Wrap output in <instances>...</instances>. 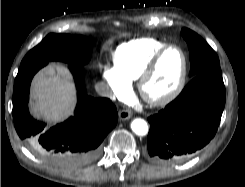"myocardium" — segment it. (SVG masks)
<instances>
[{
    "label": "myocardium",
    "instance_id": "f54148a6",
    "mask_svg": "<svg viewBox=\"0 0 245 187\" xmlns=\"http://www.w3.org/2000/svg\"><path fill=\"white\" fill-rule=\"evenodd\" d=\"M171 49H176L179 51L182 58V68L180 75L177 79L174 87L168 91L166 94L160 97H152L147 93L146 87L151 78L156 73L157 67L159 65L160 60L165 55V53ZM188 72V61L187 56L183 49L175 44H166L159 51H157L154 56L150 59L147 66L139 76L137 80V88L142 99L151 106L162 107L166 106L172 101H174L182 92L185 86L186 78Z\"/></svg>",
    "mask_w": 245,
    "mask_h": 187
}]
</instances>
